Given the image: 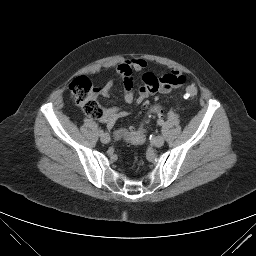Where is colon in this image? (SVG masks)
<instances>
[{
    "label": "colon",
    "instance_id": "1",
    "mask_svg": "<svg viewBox=\"0 0 256 256\" xmlns=\"http://www.w3.org/2000/svg\"><path fill=\"white\" fill-rule=\"evenodd\" d=\"M70 96L81 107L83 112L91 118H101L104 110L97 101V88L85 76L76 77L68 86ZM198 94L195 86L189 85L185 88V97L192 99ZM149 116L159 115L161 108L159 105H151L149 107ZM114 138L117 140H125L131 144H141L145 140V133L142 129L134 132H128L120 129L115 132Z\"/></svg>",
    "mask_w": 256,
    "mask_h": 256
}]
</instances>
